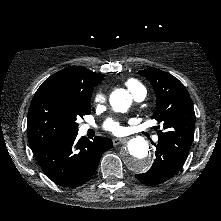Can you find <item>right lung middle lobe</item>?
Returning a JSON list of instances; mask_svg holds the SVG:
<instances>
[{"instance_id": "dd1d6c3e", "label": "right lung middle lobe", "mask_w": 221, "mask_h": 221, "mask_svg": "<svg viewBox=\"0 0 221 221\" xmlns=\"http://www.w3.org/2000/svg\"><path fill=\"white\" fill-rule=\"evenodd\" d=\"M91 94L73 89L35 93L27 121L30 145L78 132L77 118L91 113Z\"/></svg>"}]
</instances>
